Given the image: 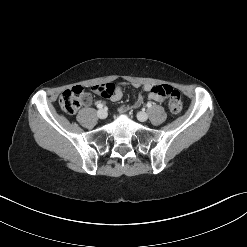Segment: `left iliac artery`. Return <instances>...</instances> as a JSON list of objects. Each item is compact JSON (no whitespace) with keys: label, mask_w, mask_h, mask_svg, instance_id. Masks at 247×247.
<instances>
[{"label":"left iliac artery","mask_w":247,"mask_h":247,"mask_svg":"<svg viewBox=\"0 0 247 247\" xmlns=\"http://www.w3.org/2000/svg\"><path fill=\"white\" fill-rule=\"evenodd\" d=\"M152 104L150 102L147 103V107L150 108Z\"/></svg>","instance_id":"1"}]
</instances>
